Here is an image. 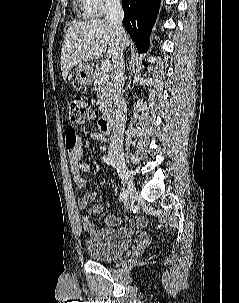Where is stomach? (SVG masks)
I'll list each match as a JSON object with an SVG mask.
<instances>
[{"mask_svg":"<svg viewBox=\"0 0 239 303\" xmlns=\"http://www.w3.org/2000/svg\"><path fill=\"white\" fill-rule=\"evenodd\" d=\"M74 73L80 84L89 85L92 83V69L89 65H77L74 69Z\"/></svg>","mask_w":239,"mask_h":303,"instance_id":"1","label":"stomach"}]
</instances>
